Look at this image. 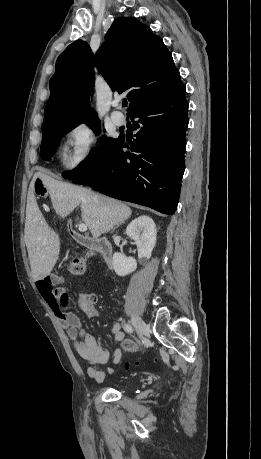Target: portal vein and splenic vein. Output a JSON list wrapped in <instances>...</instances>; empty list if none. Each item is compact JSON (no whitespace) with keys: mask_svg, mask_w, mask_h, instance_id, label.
<instances>
[{"mask_svg":"<svg viewBox=\"0 0 261 459\" xmlns=\"http://www.w3.org/2000/svg\"><path fill=\"white\" fill-rule=\"evenodd\" d=\"M78 229L80 232H85L87 230V226L86 224L81 223L78 225Z\"/></svg>","mask_w":261,"mask_h":459,"instance_id":"portal-vein-and-splenic-vein-1","label":"portal vein and splenic vein"}]
</instances>
